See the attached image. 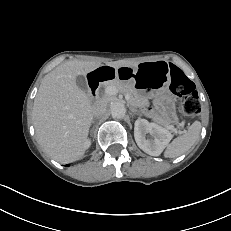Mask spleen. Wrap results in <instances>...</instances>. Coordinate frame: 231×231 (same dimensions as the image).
Returning <instances> with one entry per match:
<instances>
[{
    "label": "spleen",
    "instance_id": "1",
    "mask_svg": "<svg viewBox=\"0 0 231 231\" xmlns=\"http://www.w3.org/2000/svg\"><path fill=\"white\" fill-rule=\"evenodd\" d=\"M200 131L201 123L195 121L183 135L175 138L167 145L164 156L167 158H175L188 151L199 138Z\"/></svg>",
    "mask_w": 231,
    "mask_h": 231
}]
</instances>
